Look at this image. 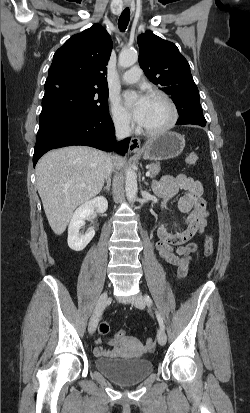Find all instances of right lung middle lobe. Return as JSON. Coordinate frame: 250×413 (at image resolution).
<instances>
[{
    "mask_svg": "<svg viewBox=\"0 0 250 413\" xmlns=\"http://www.w3.org/2000/svg\"><path fill=\"white\" fill-rule=\"evenodd\" d=\"M61 113L108 114V89L64 85L45 93L39 123Z\"/></svg>",
    "mask_w": 250,
    "mask_h": 413,
    "instance_id": "obj_1",
    "label": "right lung middle lobe"
}]
</instances>
